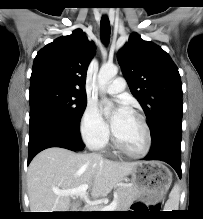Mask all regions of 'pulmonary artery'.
Instances as JSON below:
<instances>
[{"mask_svg":"<svg viewBox=\"0 0 203 219\" xmlns=\"http://www.w3.org/2000/svg\"><path fill=\"white\" fill-rule=\"evenodd\" d=\"M125 87H126V82L124 78L117 77L112 81V83H110L105 87V91L108 94L115 95L124 91Z\"/></svg>","mask_w":203,"mask_h":219,"instance_id":"1","label":"pulmonary artery"}]
</instances>
